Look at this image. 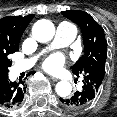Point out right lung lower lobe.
<instances>
[{"label":"right lung lower lobe","mask_w":117,"mask_h":117,"mask_svg":"<svg viewBox=\"0 0 117 117\" xmlns=\"http://www.w3.org/2000/svg\"><path fill=\"white\" fill-rule=\"evenodd\" d=\"M25 92L24 82H11L7 75L0 81V106L7 109L18 107L24 99Z\"/></svg>","instance_id":"1"}]
</instances>
